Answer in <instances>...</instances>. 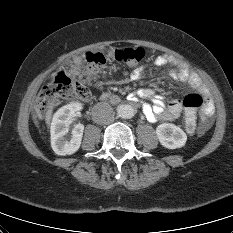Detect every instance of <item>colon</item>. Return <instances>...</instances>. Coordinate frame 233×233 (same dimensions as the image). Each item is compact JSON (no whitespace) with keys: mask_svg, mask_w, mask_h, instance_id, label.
<instances>
[{"mask_svg":"<svg viewBox=\"0 0 233 233\" xmlns=\"http://www.w3.org/2000/svg\"><path fill=\"white\" fill-rule=\"evenodd\" d=\"M145 56L141 47H126L115 49L112 57L117 62L131 66L139 64ZM89 75H96L105 65L106 59L101 53H88L85 56ZM90 90L81 82L72 79L65 71L57 72L51 82L44 86L36 100L35 109L39 116L46 114L52 106L62 98L82 103L90 99ZM185 108L186 123L193 125L196 119V112L204 105V97L198 93L188 94L183 99Z\"/></svg>","mask_w":233,"mask_h":233,"instance_id":"obj_1","label":"colon"}]
</instances>
